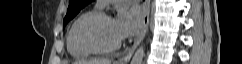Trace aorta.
I'll return each instance as SVG.
<instances>
[{
	"label": "aorta",
	"instance_id": "762f6f07",
	"mask_svg": "<svg viewBox=\"0 0 242 64\" xmlns=\"http://www.w3.org/2000/svg\"><path fill=\"white\" fill-rule=\"evenodd\" d=\"M145 55L144 46L140 45L132 57L130 64H142Z\"/></svg>",
	"mask_w": 242,
	"mask_h": 64
}]
</instances>
